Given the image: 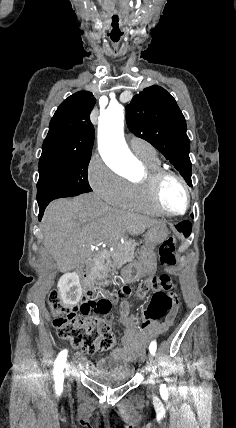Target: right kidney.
Instances as JSON below:
<instances>
[{
    "mask_svg": "<svg viewBox=\"0 0 236 428\" xmlns=\"http://www.w3.org/2000/svg\"><path fill=\"white\" fill-rule=\"evenodd\" d=\"M58 288L64 304H77L81 300L82 290L79 278L73 270H68L67 274L62 276Z\"/></svg>",
    "mask_w": 236,
    "mask_h": 428,
    "instance_id": "1",
    "label": "right kidney"
}]
</instances>
